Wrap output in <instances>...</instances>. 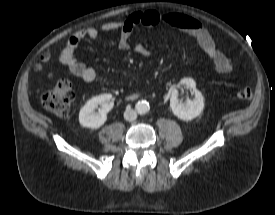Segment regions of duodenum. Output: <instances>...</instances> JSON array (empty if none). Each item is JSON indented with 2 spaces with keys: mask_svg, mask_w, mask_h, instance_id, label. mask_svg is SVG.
I'll return each mask as SVG.
<instances>
[{
  "mask_svg": "<svg viewBox=\"0 0 275 215\" xmlns=\"http://www.w3.org/2000/svg\"><path fill=\"white\" fill-rule=\"evenodd\" d=\"M135 99H136V96H128V97H126L127 101H133Z\"/></svg>",
  "mask_w": 275,
  "mask_h": 215,
  "instance_id": "duodenum-1",
  "label": "duodenum"
}]
</instances>
